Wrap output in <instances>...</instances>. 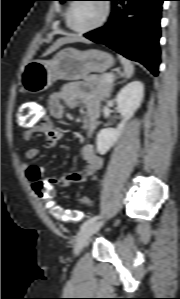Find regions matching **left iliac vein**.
I'll list each match as a JSON object with an SVG mask.
<instances>
[{"instance_id":"4c4485c4","label":"left iliac vein","mask_w":180,"mask_h":299,"mask_svg":"<svg viewBox=\"0 0 180 299\" xmlns=\"http://www.w3.org/2000/svg\"><path fill=\"white\" fill-rule=\"evenodd\" d=\"M103 225L102 221H96L86 228L82 229L76 238V242L74 245V254L79 255L82 251L83 247L85 246L88 239L95 234Z\"/></svg>"}]
</instances>
